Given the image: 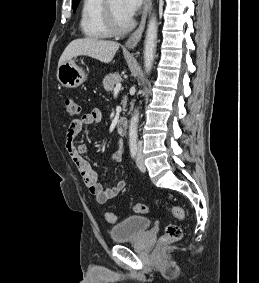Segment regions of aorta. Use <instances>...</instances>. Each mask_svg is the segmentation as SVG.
<instances>
[{
	"label": "aorta",
	"mask_w": 259,
	"mask_h": 283,
	"mask_svg": "<svg viewBox=\"0 0 259 283\" xmlns=\"http://www.w3.org/2000/svg\"><path fill=\"white\" fill-rule=\"evenodd\" d=\"M157 30L158 24L156 17L153 15L149 20L146 38L144 43V67L147 74L150 73L157 46ZM138 122H139V111L135 110L129 125V143L130 145H135L138 138Z\"/></svg>",
	"instance_id": "obj_1"
}]
</instances>
